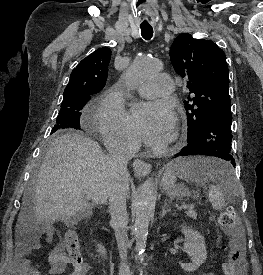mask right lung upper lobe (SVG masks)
<instances>
[{"label": "right lung upper lobe", "instance_id": "obj_1", "mask_svg": "<svg viewBox=\"0 0 263 275\" xmlns=\"http://www.w3.org/2000/svg\"><path fill=\"white\" fill-rule=\"evenodd\" d=\"M111 50L99 48L83 59L70 75L64 90V97L79 94L93 95L103 89L107 80Z\"/></svg>", "mask_w": 263, "mask_h": 275}]
</instances>
